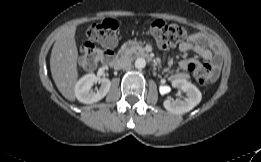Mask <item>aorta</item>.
<instances>
[{
    "mask_svg": "<svg viewBox=\"0 0 261 162\" xmlns=\"http://www.w3.org/2000/svg\"><path fill=\"white\" fill-rule=\"evenodd\" d=\"M146 66V61L144 58H138L135 61V67L137 69H143Z\"/></svg>",
    "mask_w": 261,
    "mask_h": 162,
    "instance_id": "762f6f07",
    "label": "aorta"
}]
</instances>
